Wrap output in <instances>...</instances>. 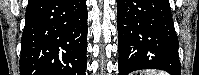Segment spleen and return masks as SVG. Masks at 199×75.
Returning <instances> with one entry per match:
<instances>
[{
    "label": "spleen",
    "instance_id": "3e777b00",
    "mask_svg": "<svg viewBox=\"0 0 199 75\" xmlns=\"http://www.w3.org/2000/svg\"><path fill=\"white\" fill-rule=\"evenodd\" d=\"M140 75H168L164 71L147 70L143 71Z\"/></svg>",
    "mask_w": 199,
    "mask_h": 75
}]
</instances>
